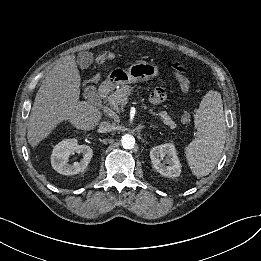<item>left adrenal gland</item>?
<instances>
[{
    "instance_id": "1",
    "label": "left adrenal gland",
    "mask_w": 261,
    "mask_h": 261,
    "mask_svg": "<svg viewBox=\"0 0 261 261\" xmlns=\"http://www.w3.org/2000/svg\"><path fill=\"white\" fill-rule=\"evenodd\" d=\"M150 127H152V128H157V126H150Z\"/></svg>"
}]
</instances>
